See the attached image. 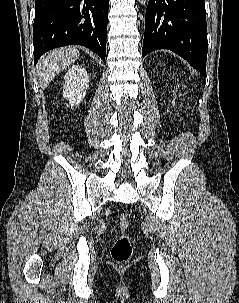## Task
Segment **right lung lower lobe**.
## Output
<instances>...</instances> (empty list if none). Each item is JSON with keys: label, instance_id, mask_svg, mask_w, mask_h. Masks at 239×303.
<instances>
[{"label": "right lung lower lobe", "instance_id": "obj_1", "mask_svg": "<svg viewBox=\"0 0 239 303\" xmlns=\"http://www.w3.org/2000/svg\"><path fill=\"white\" fill-rule=\"evenodd\" d=\"M109 0H36L34 63L47 51L72 44L88 47L104 61Z\"/></svg>", "mask_w": 239, "mask_h": 303}]
</instances>
